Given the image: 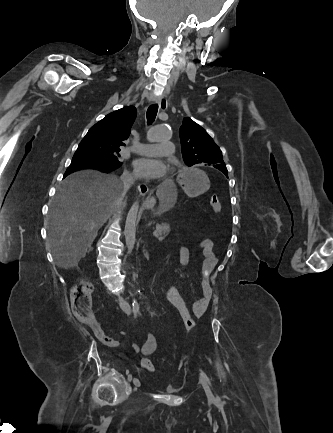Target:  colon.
Wrapping results in <instances>:
<instances>
[{"instance_id": "1", "label": "colon", "mask_w": 333, "mask_h": 433, "mask_svg": "<svg viewBox=\"0 0 333 433\" xmlns=\"http://www.w3.org/2000/svg\"><path fill=\"white\" fill-rule=\"evenodd\" d=\"M210 205L214 213L218 214L221 211V203L216 195L210 199ZM165 291L166 303L172 305L179 313L180 318L185 325V330H196L199 324L198 319L193 318L190 309L186 306V302L180 296L179 290L175 289L174 285H169ZM92 284L86 280H79L71 289V306L76 318L87 325H93L97 322L96 316L92 309ZM141 365L149 372H154V365L149 358H143Z\"/></svg>"}]
</instances>
